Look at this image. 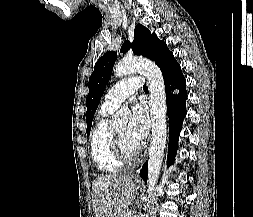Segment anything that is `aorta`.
I'll list each match as a JSON object with an SVG mask.
<instances>
[{
  "mask_svg": "<svg viewBox=\"0 0 253 217\" xmlns=\"http://www.w3.org/2000/svg\"><path fill=\"white\" fill-rule=\"evenodd\" d=\"M135 72L144 75L149 82L152 140L149 148L147 186L151 200L155 196L167 140L166 92L160 68L148 59L124 58L113 70L115 77H123ZM129 114L127 108H121L115 114V123L126 124Z\"/></svg>",
  "mask_w": 253,
  "mask_h": 217,
  "instance_id": "1",
  "label": "aorta"
}]
</instances>
